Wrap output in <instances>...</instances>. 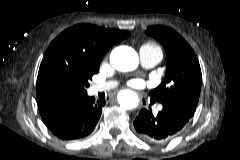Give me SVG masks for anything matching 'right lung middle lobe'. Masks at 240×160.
Instances as JSON below:
<instances>
[{"instance_id": "right-lung-middle-lobe-1", "label": "right lung middle lobe", "mask_w": 240, "mask_h": 160, "mask_svg": "<svg viewBox=\"0 0 240 160\" xmlns=\"http://www.w3.org/2000/svg\"><path fill=\"white\" fill-rule=\"evenodd\" d=\"M99 66L83 65L54 71L51 76V88L55 97L71 99L87 94L88 81L98 73Z\"/></svg>"}]
</instances>
